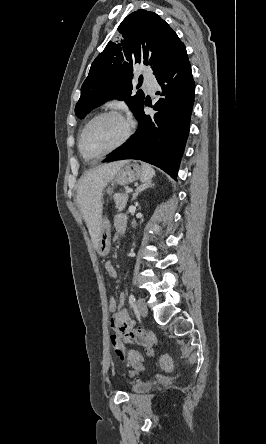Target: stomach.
<instances>
[{
    "instance_id": "obj_1",
    "label": "stomach",
    "mask_w": 266,
    "mask_h": 444,
    "mask_svg": "<svg viewBox=\"0 0 266 444\" xmlns=\"http://www.w3.org/2000/svg\"><path fill=\"white\" fill-rule=\"evenodd\" d=\"M143 175V169L137 163L128 162L124 164L113 177L112 185H127L133 183L138 179H142ZM106 191L108 194H111L112 188L109 187ZM103 241H105L107 245L110 243V224L109 221L105 218L101 220L98 243V251L102 255L107 253V248H103Z\"/></svg>"
}]
</instances>
